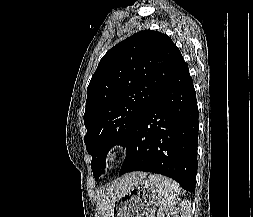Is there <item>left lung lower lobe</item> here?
I'll return each mask as SVG.
<instances>
[{
	"mask_svg": "<svg viewBox=\"0 0 253 217\" xmlns=\"http://www.w3.org/2000/svg\"><path fill=\"white\" fill-rule=\"evenodd\" d=\"M197 144L196 93L185 63L134 124L119 176L131 171L158 173L195 192Z\"/></svg>",
	"mask_w": 253,
	"mask_h": 217,
	"instance_id": "left-lung-lower-lobe-1",
	"label": "left lung lower lobe"
}]
</instances>
